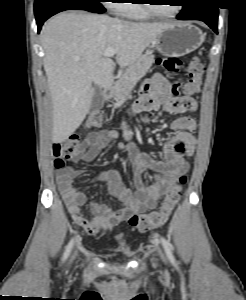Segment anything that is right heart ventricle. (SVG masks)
<instances>
[{"label": "right heart ventricle", "mask_w": 246, "mask_h": 300, "mask_svg": "<svg viewBox=\"0 0 246 300\" xmlns=\"http://www.w3.org/2000/svg\"><path fill=\"white\" fill-rule=\"evenodd\" d=\"M116 11L119 15L134 20H149L153 17L137 0H126V3L119 4Z\"/></svg>", "instance_id": "1"}]
</instances>
